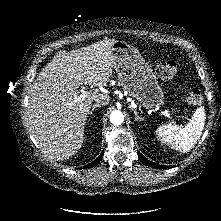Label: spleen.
<instances>
[{
  "instance_id": "obj_1",
  "label": "spleen",
  "mask_w": 221,
  "mask_h": 221,
  "mask_svg": "<svg viewBox=\"0 0 221 221\" xmlns=\"http://www.w3.org/2000/svg\"><path fill=\"white\" fill-rule=\"evenodd\" d=\"M205 124V110L203 107L196 109L193 120L184 127L161 125L156 133L161 141L180 152L190 151L201 136Z\"/></svg>"
}]
</instances>
